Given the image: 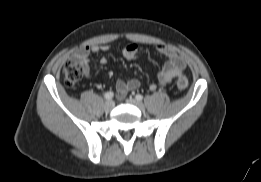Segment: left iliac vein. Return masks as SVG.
<instances>
[{"mask_svg":"<svg viewBox=\"0 0 261 182\" xmlns=\"http://www.w3.org/2000/svg\"><path fill=\"white\" fill-rule=\"evenodd\" d=\"M126 102L129 103V104H132L136 107H138L140 110H145V106L143 103H141L140 101L136 100V99H133V98H127L126 99Z\"/></svg>","mask_w":261,"mask_h":182,"instance_id":"1","label":"left iliac vein"}]
</instances>
